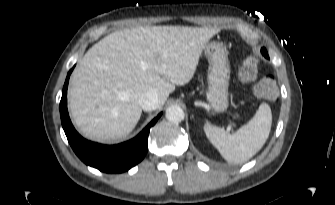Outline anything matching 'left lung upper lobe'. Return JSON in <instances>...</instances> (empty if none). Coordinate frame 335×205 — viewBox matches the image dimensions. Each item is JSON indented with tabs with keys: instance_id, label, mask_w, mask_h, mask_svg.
Wrapping results in <instances>:
<instances>
[{
	"instance_id": "5c2ea615",
	"label": "left lung upper lobe",
	"mask_w": 335,
	"mask_h": 205,
	"mask_svg": "<svg viewBox=\"0 0 335 205\" xmlns=\"http://www.w3.org/2000/svg\"><path fill=\"white\" fill-rule=\"evenodd\" d=\"M261 53H262V55H264V57L269 58L267 50L265 48L261 49Z\"/></svg>"
}]
</instances>
